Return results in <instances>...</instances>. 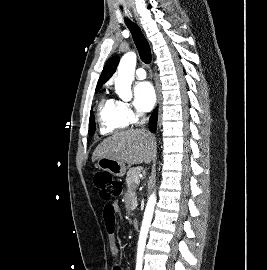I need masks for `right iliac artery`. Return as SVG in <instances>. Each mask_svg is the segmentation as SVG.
I'll use <instances>...</instances> for the list:
<instances>
[{"label":"right iliac artery","mask_w":267,"mask_h":270,"mask_svg":"<svg viewBox=\"0 0 267 270\" xmlns=\"http://www.w3.org/2000/svg\"><path fill=\"white\" fill-rule=\"evenodd\" d=\"M136 270H142V267L141 266H137L136 267Z\"/></svg>","instance_id":"right-iliac-artery-1"}]
</instances>
